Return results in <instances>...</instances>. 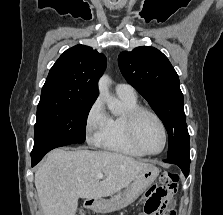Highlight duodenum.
<instances>
[{
	"mask_svg": "<svg viewBox=\"0 0 223 215\" xmlns=\"http://www.w3.org/2000/svg\"><path fill=\"white\" fill-rule=\"evenodd\" d=\"M103 207L104 201L101 198H93L87 202V208L94 213H100Z\"/></svg>",
	"mask_w": 223,
	"mask_h": 215,
	"instance_id": "1",
	"label": "duodenum"
}]
</instances>
